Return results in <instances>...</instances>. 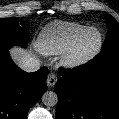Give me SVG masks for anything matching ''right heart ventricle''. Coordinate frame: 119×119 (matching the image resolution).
Returning <instances> with one entry per match:
<instances>
[{"label": "right heart ventricle", "mask_w": 119, "mask_h": 119, "mask_svg": "<svg viewBox=\"0 0 119 119\" xmlns=\"http://www.w3.org/2000/svg\"><path fill=\"white\" fill-rule=\"evenodd\" d=\"M87 27L75 22L57 21L48 25L38 40V49L46 55L65 52L75 37Z\"/></svg>", "instance_id": "e07e8e85"}]
</instances>
